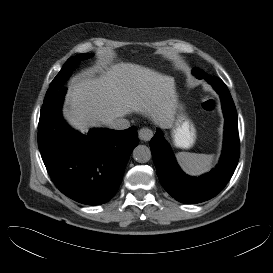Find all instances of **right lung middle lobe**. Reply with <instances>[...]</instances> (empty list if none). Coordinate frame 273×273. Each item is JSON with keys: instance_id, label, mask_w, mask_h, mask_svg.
<instances>
[{"instance_id": "obj_1", "label": "right lung middle lobe", "mask_w": 273, "mask_h": 273, "mask_svg": "<svg viewBox=\"0 0 273 273\" xmlns=\"http://www.w3.org/2000/svg\"><path fill=\"white\" fill-rule=\"evenodd\" d=\"M90 54H80L73 56L67 60L64 64L60 72L51 82L49 89L46 93L44 98V102L49 100L57 91L64 87L65 82L67 81L68 77L72 74L73 70L75 69L76 65L83 59L88 58Z\"/></svg>"}]
</instances>
